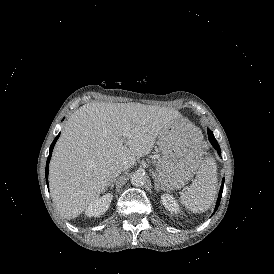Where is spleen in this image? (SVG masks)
<instances>
[{
    "instance_id": "1",
    "label": "spleen",
    "mask_w": 274,
    "mask_h": 274,
    "mask_svg": "<svg viewBox=\"0 0 274 274\" xmlns=\"http://www.w3.org/2000/svg\"><path fill=\"white\" fill-rule=\"evenodd\" d=\"M198 136V138H197ZM193 140L198 163L197 178L191 186L183 190L180 201L191 212L198 213L209 209L217 194V171L215 161L211 158L203 159L199 133Z\"/></svg>"
}]
</instances>
